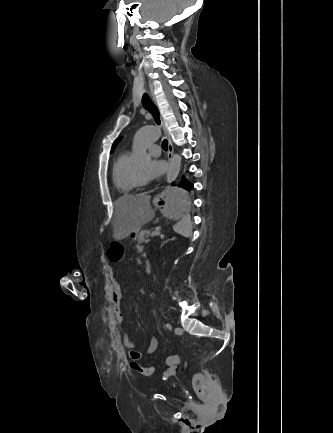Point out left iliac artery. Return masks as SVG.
<instances>
[{"label": "left iliac artery", "mask_w": 333, "mask_h": 433, "mask_svg": "<svg viewBox=\"0 0 333 433\" xmlns=\"http://www.w3.org/2000/svg\"><path fill=\"white\" fill-rule=\"evenodd\" d=\"M165 327H166L168 330H171V329H172V326H171V324H169V323H167V324L165 325Z\"/></svg>", "instance_id": "obj_1"}]
</instances>
